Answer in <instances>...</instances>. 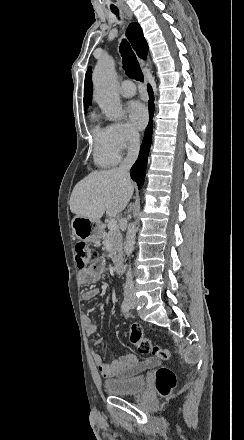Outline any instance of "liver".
<instances>
[{
	"mask_svg": "<svg viewBox=\"0 0 244 440\" xmlns=\"http://www.w3.org/2000/svg\"><path fill=\"white\" fill-rule=\"evenodd\" d=\"M134 186L118 168L91 172L76 184L70 198L72 214L97 222L106 216H119L132 198Z\"/></svg>",
	"mask_w": 244,
	"mask_h": 440,
	"instance_id": "obj_1",
	"label": "liver"
}]
</instances>
